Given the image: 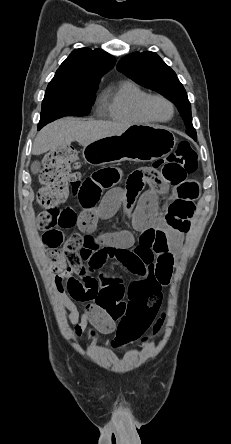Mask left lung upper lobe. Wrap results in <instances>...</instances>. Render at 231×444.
Here are the masks:
<instances>
[{
    "instance_id": "left-lung-upper-lobe-1",
    "label": "left lung upper lobe",
    "mask_w": 231,
    "mask_h": 444,
    "mask_svg": "<svg viewBox=\"0 0 231 444\" xmlns=\"http://www.w3.org/2000/svg\"><path fill=\"white\" fill-rule=\"evenodd\" d=\"M117 69L136 83L171 99L185 120L186 133L196 140L187 93L175 72L156 53H131L119 61Z\"/></svg>"
}]
</instances>
